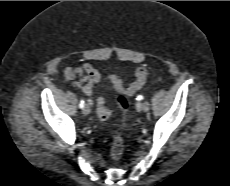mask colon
Masks as SVG:
<instances>
[{"label": "colon", "mask_w": 230, "mask_h": 186, "mask_svg": "<svg viewBox=\"0 0 230 186\" xmlns=\"http://www.w3.org/2000/svg\"><path fill=\"white\" fill-rule=\"evenodd\" d=\"M148 75V69L145 66H139L135 70V80L128 87L127 90L119 89L114 98L116 104H118L123 111H127L130 103L128 96L132 93L139 91L144 85ZM112 85L118 86L120 84L119 77L112 75L110 76ZM97 113L100 119L106 120L110 118L112 109L107 105L104 99L98 100ZM124 132L125 128L119 127L114 134L113 141L109 150V157L111 159H117L121 156L124 148Z\"/></svg>", "instance_id": "1"}]
</instances>
